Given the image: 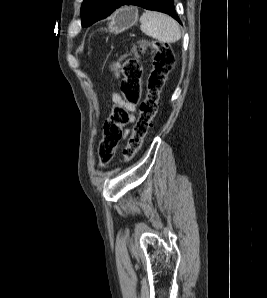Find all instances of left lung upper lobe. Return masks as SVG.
<instances>
[{"mask_svg": "<svg viewBox=\"0 0 267 298\" xmlns=\"http://www.w3.org/2000/svg\"><path fill=\"white\" fill-rule=\"evenodd\" d=\"M115 0H84L81 6L82 26H86L96 15L109 11Z\"/></svg>", "mask_w": 267, "mask_h": 298, "instance_id": "left-lung-upper-lobe-1", "label": "left lung upper lobe"}]
</instances>
